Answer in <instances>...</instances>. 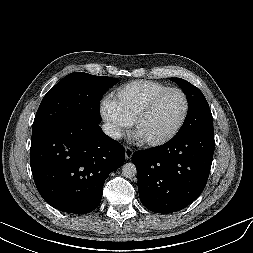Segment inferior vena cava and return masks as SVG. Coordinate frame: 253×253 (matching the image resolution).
Masks as SVG:
<instances>
[{
    "label": "inferior vena cava",
    "mask_w": 253,
    "mask_h": 253,
    "mask_svg": "<svg viewBox=\"0 0 253 253\" xmlns=\"http://www.w3.org/2000/svg\"><path fill=\"white\" fill-rule=\"evenodd\" d=\"M103 132L108 135L112 139H120L121 138V132L120 129L117 128L112 123H105L102 125Z\"/></svg>",
    "instance_id": "1"
}]
</instances>
